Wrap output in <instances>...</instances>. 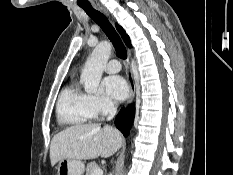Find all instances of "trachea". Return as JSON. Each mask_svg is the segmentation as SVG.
I'll list each match as a JSON object with an SVG mask.
<instances>
[{
  "label": "trachea",
  "instance_id": "trachea-1",
  "mask_svg": "<svg viewBox=\"0 0 233 175\" xmlns=\"http://www.w3.org/2000/svg\"><path fill=\"white\" fill-rule=\"evenodd\" d=\"M80 7L83 8L87 15L101 27L106 36L112 42L117 56L121 59H126V48L120 36L118 35L114 27L111 25V23L108 21V19L101 12L95 10L90 4H81Z\"/></svg>",
  "mask_w": 233,
  "mask_h": 175
}]
</instances>
